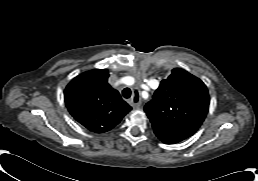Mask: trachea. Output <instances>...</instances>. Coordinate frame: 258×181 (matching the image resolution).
Instances as JSON below:
<instances>
[{
  "label": "trachea",
  "instance_id": "trachea-1",
  "mask_svg": "<svg viewBox=\"0 0 258 181\" xmlns=\"http://www.w3.org/2000/svg\"><path fill=\"white\" fill-rule=\"evenodd\" d=\"M122 95L124 98L128 99L131 97V90L129 88H124L122 91Z\"/></svg>",
  "mask_w": 258,
  "mask_h": 181
}]
</instances>
